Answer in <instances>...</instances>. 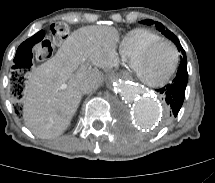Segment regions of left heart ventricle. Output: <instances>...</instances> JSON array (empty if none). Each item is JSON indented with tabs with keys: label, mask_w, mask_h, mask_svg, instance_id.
Wrapping results in <instances>:
<instances>
[{
	"label": "left heart ventricle",
	"mask_w": 215,
	"mask_h": 183,
	"mask_svg": "<svg viewBox=\"0 0 215 183\" xmlns=\"http://www.w3.org/2000/svg\"><path fill=\"white\" fill-rule=\"evenodd\" d=\"M174 59L173 48L167 43H160L141 62V73L149 81L160 80L172 69Z\"/></svg>",
	"instance_id": "1"
}]
</instances>
